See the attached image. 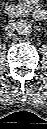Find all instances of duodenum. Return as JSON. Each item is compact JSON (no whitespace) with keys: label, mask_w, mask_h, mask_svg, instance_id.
I'll list each match as a JSON object with an SVG mask.
<instances>
[{"label":"duodenum","mask_w":47,"mask_h":129,"mask_svg":"<svg viewBox=\"0 0 47 129\" xmlns=\"http://www.w3.org/2000/svg\"><path fill=\"white\" fill-rule=\"evenodd\" d=\"M5 12L11 18H20L25 16L29 11L18 5L10 4L5 8ZM32 12L33 15L39 20L44 19L46 16L45 10L39 7L34 8Z\"/></svg>","instance_id":"1"}]
</instances>
